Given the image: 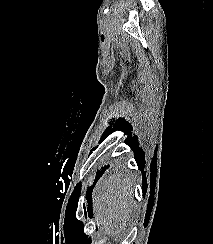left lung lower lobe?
Wrapping results in <instances>:
<instances>
[{
	"mask_svg": "<svg viewBox=\"0 0 213 244\" xmlns=\"http://www.w3.org/2000/svg\"><path fill=\"white\" fill-rule=\"evenodd\" d=\"M106 168H108V167H104V168H102V170L98 173V175L96 176V179H95V181H94V184H95L96 181L100 178V176L104 173V171L106 170ZM92 189H93V186H91L90 191H89V190L87 191V198H89V202L91 201V196H90V194H91V192H92Z\"/></svg>",
	"mask_w": 213,
	"mask_h": 244,
	"instance_id": "1",
	"label": "left lung lower lobe"
}]
</instances>
